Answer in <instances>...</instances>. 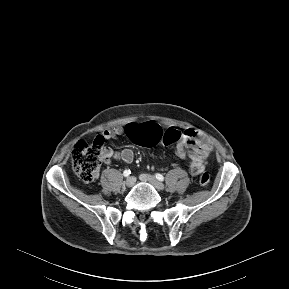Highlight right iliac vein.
<instances>
[{"label": "right iliac vein", "instance_id": "obj_1", "mask_svg": "<svg viewBox=\"0 0 289 289\" xmlns=\"http://www.w3.org/2000/svg\"><path fill=\"white\" fill-rule=\"evenodd\" d=\"M135 178L134 177H129L126 179V181L124 182L126 187H132L135 184Z\"/></svg>", "mask_w": 289, "mask_h": 289}]
</instances>
